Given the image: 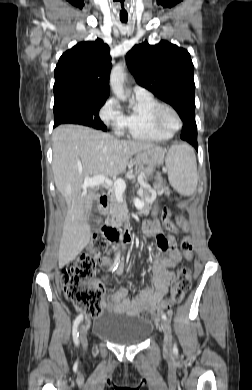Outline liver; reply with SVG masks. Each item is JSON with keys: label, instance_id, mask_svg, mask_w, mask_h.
Here are the masks:
<instances>
[{"label": "liver", "instance_id": "obj_1", "mask_svg": "<svg viewBox=\"0 0 252 390\" xmlns=\"http://www.w3.org/2000/svg\"><path fill=\"white\" fill-rule=\"evenodd\" d=\"M149 149L163 151L151 143L118 140L80 125H60L54 130V181L68 203L58 252L60 268L74 260L90 241L89 216L99 195L94 189H83L85 178L117 176L133 155Z\"/></svg>", "mask_w": 252, "mask_h": 390}]
</instances>
